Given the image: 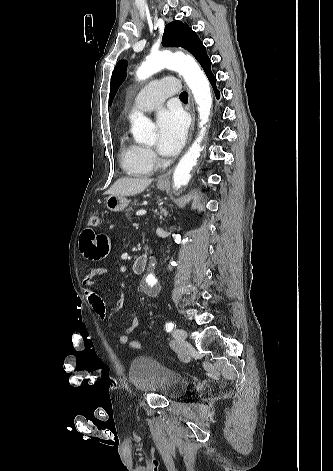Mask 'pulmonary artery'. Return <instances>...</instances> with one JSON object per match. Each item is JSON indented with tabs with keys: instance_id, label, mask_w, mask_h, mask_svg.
<instances>
[{
	"instance_id": "pulmonary-artery-1",
	"label": "pulmonary artery",
	"mask_w": 333,
	"mask_h": 471,
	"mask_svg": "<svg viewBox=\"0 0 333 471\" xmlns=\"http://www.w3.org/2000/svg\"><path fill=\"white\" fill-rule=\"evenodd\" d=\"M178 92V85L175 79L166 77L155 80L148 84L136 96L134 109L139 111H152L156 109L169 96Z\"/></svg>"
}]
</instances>
